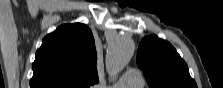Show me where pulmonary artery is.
Segmentation results:
<instances>
[{
  "label": "pulmonary artery",
  "instance_id": "pulmonary-artery-1",
  "mask_svg": "<svg viewBox=\"0 0 223 88\" xmlns=\"http://www.w3.org/2000/svg\"><path fill=\"white\" fill-rule=\"evenodd\" d=\"M144 85V78L139 70H128L112 87L138 88Z\"/></svg>",
  "mask_w": 223,
  "mask_h": 88
}]
</instances>
